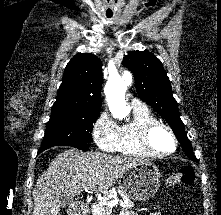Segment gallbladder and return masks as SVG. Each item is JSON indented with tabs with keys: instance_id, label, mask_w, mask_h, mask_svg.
<instances>
[{
	"instance_id": "gallbladder-1",
	"label": "gallbladder",
	"mask_w": 221,
	"mask_h": 215,
	"mask_svg": "<svg viewBox=\"0 0 221 215\" xmlns=\"http://www.w3.org/2000/svg\"><path fill=\"white\" fill-rule=\"evenodd\" d=\"M72 202V198L65 197L62 199L61 207L64 208Z\"/></svg>"
}]
</instances>
